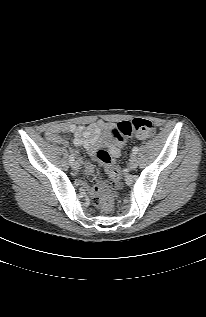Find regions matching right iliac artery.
I'll return each instance as SVG.
<instances>
[{
  "mask_svg": "<svg viewBox=\"0 0 206 317\" xmlns=\"http://www.w3.org/2000/svg\"><path fill=\"white\" fill-rule=\"evenodd\" d=\"M69 161H70V163H73V162L75 161L73 154H71V155L69 156Z\"/></svg>",
  "mask_w": 206,
  "mask_h": 317,
  "instance_id": "right-iliac-artery-1",
  "label": "right iliac artery"
}]
</instances>
